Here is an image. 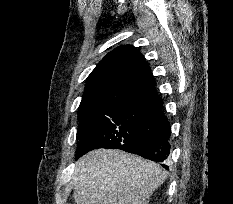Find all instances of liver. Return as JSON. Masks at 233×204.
Instances as JSON below:
<instances>
[{
  "mask_svg": "<svg viewBox=\"0 0 233 204\" xmlns=\"http://www.w3.org/2000/svg\"><path fill=\"white\" fill-rule=\"evenodd\" d=\"M160 165L121 150L96 149L75 163L76 204H148L163 183Z\"/></svg>",
  "mask_w": 233,
  "mask_h": 204,
  "instance_id": "liver-1",
  "label": "liver"
}]
</instances>
